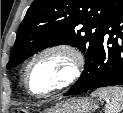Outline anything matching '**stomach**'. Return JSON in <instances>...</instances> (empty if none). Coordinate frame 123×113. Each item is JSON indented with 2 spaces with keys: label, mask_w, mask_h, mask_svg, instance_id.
<instances>
[{
  "label": "stomach",
  "mask_w": 123,
  "mask_h": 113,
  "mask_svg": "<svg viewBox=\"0 0 123 113\" xmlns=\"http://www.w3.org/2000/svg\"><path fill=\"white\" fill-rule=\"evenodd\" d=\"M98 104L91 98L75 97L50 108L46 113H92Z\"/></svg>",
  "instance_id": "0dacf381"
}]
</instances>
